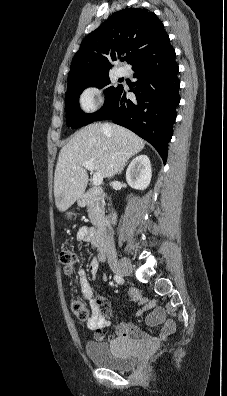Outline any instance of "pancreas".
<instances>
[{
	"label": "pancreas",
	"instance_id": "cf45deb5",
	"mask_svg": "<svg viewBox=\"0 0 227 396\" xmlns=\"http://www.w3.org/2000/svg\"><path fill=\"white\" fill-rule=\"evenodd\" d=\"M104 208L100 200L92 198L88 203V216L94 226H99L103 221Z\"/></svg>",
	"mask_w": 227,
	"mask_h": 396
}]
</instances>
